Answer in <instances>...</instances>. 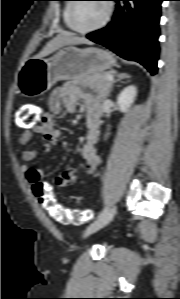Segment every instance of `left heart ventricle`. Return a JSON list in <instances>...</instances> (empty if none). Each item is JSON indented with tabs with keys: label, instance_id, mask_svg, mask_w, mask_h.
Masks as SVG:
<instances>
[{
	"label": "left heart ventricle",
	"instance_id": "left-heart-ventricle-1",
	"mask_svg": "<svg viewBox=\"0 0 180 299\" xmlns=\"http://www.w3.org/2000/svg\"><path fill=\"white\" fill-rule=\"evenodd\" d=\"M106 13L104 2L78 3L75 11V24L79 28H91L99 24Z\"/></svg>",
	"mask_w": 180,
	"mask_h": 299
}]
</instances>
